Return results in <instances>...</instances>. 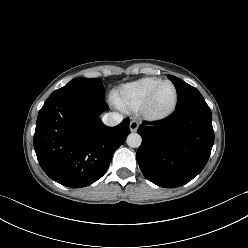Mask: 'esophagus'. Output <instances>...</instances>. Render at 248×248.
<instances>
[{"label":"esophagus","instance_id":"esophagus-1","mask_svg":"<svg viewBox=\"0 0 248 248\" xmlns=\"http://www.w3.org/2000/svg\"><path fill=\"white\" fill-rule=\"evenodd\" d=\"M138 126H139L138 122L136 120H132L129 124L130 131L136 132L138 129Z\"/></svg>","mask_w":248,"mask_h":248}]
</instances>
